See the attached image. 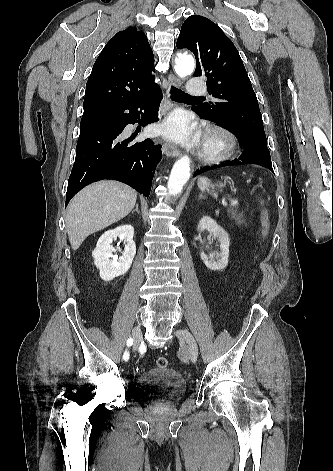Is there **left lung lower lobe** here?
<instances>
[{
  "label": "left lung lower lobe",
  "mask_w": 333,
  "mask_h": 471,
  "mask_svg": "<svg viewBox=\"0 0 333 471\" xmlns=\"http://www.w3.org/2000/svg\"><path fill=\"white\" fill-rule=\"evenodd\" d=\"M243 164H258V165L268 168L269 170L273 172L270 152L268 148L257 147V148H251V149H244L242 154L239 156V158L234 159L232 161L222 163L219 165H214L211 167L201 168L195 171L193 176H197L198 174H201L208 170H213V169L224 167V166L243 165Z\"/></svg>",
  "instance_id": "obj_1"
}]
</instances>
